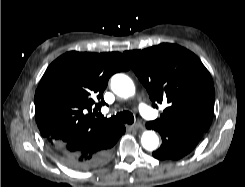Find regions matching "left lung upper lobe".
I'll list each match as a JSON object with an SVG mask.
<instances>
[{"mask_svg": "<svg viewBox=\"0 0 245 187\" xmlns=\"http://www.w3.org/2000/svg\"><path fill=\"white\" fill-rule=\"evenodd\" d=\"M124 56L146 87L153 107L167 102L160 118L151 121L170 130L206 132L212 122L215 90L210 73L191 51L169 43Z\"/></svg>", "mask_w": 245, "mask_h": 187, "instance_id": "1", "label": "left lung upper lobe"}]
</instances>
